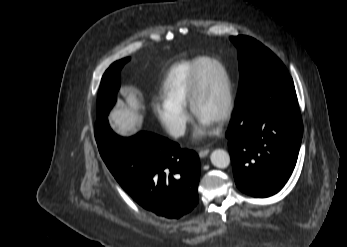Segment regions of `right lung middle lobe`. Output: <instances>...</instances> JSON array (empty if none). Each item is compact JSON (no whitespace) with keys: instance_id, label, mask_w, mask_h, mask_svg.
I'll return each mask as SVG.
<instances>
[{"instance_id":"dd1d6c3e","label":"right lung middle lobe","mask_w":347,"mask_h":247,"mask_svg":"<svg viewBox=\"0 0 347 247\" xmlns=\"http://www.w3.org/2000/svg\"><path fill=\"white\" fill-rule=\"evenodd\" d=\"M129 60L125 58L113 63L104 73L98 94L97 120L107 118V115L116 101V93L119 89V75L123 65Z\"/></svg>"}]
</instances>
